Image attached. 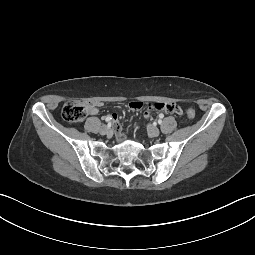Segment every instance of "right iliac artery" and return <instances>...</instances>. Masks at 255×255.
Returning <instances> with one entry per match:
<instances>
[{"label": "right iliac artery", "mask_w": 255, "mask_h": 255, "mask_svg": "<svg viewBox=\"0 0 255 255\" xmlns=\"http://www.w3.org/2000/svg\"><path fill=\"white\" fill-rule=\"evenodd\" d=\"M112 120V117L111 116H107L106 118H105V121L106 122H110Z\"/></svg>", "instance_id": "1"}]
</instances>
